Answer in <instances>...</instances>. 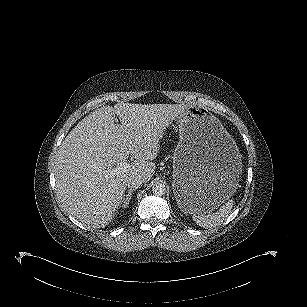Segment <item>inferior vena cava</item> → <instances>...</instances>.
Returning a JSON list of instances; mask_svg holds the SVG:
<instances>
[{
	"label": "inferior vena cava",
	"instance_id": "inferior-vena-cava-1",
	"mask_svg": "<svg viewBox=\"0 0 307 307\" xmlns=\"http://www.w3.org/2000/svg\"><path fill=\"white\" fill-rule=\"evenodd\" d=\"M143 179L140 178V177H132L130 178L127 183H126V186L132 190V189H138L142 186L143 184Z\"/></svg>",
	"mask_w": 307,
	"mask_h": 307
}]
</instances>
